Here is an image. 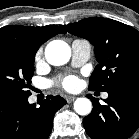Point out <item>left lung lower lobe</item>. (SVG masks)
I'll return each instance as SVG.
<instances>
[{
    "label": "left lung lower lobe",
    "mask_w": 139,
    "mask_h": 139,
    "mask_svg": "<svg viewBox=\"0 0 139 139\" xmlns=\"http://www.w3.org/2000/svg\"><path fill=\"white\" fill-rule=\"evenodd\" d=\"M107 93L103 105L88 95L93 110L83 119L84 128L91 139H128L139 127V77Z\"/></svg>",
    "instance_id": "obj_1"
}]
</instances>
